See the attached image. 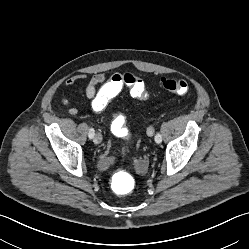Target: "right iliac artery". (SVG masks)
<instances>
[{
    "label": "right iliac artery",
    "mask_w": 249,
    "mask_h": 249,
    "mask_svg": "<svg viewBox=\"0 0 249 249\" xmlns=\"http://www.w3.org/2000/svg\"><path fill=\"white\" fill-rule=\"evenodd\" d=\"M94 135H95V130L93 128H90L88 133L89 138L92 139Z\"/></svg>",
    "instance_id": "right-iliac-artery-1"
}]
</instances>
